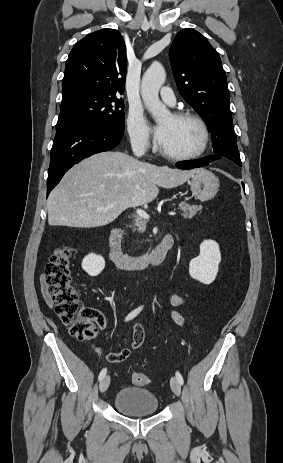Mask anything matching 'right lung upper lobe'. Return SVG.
<instances>
[{
  "label": "right lung upper lobe",
  "mask_w": 283,
  "mask_h": 463,
  "mask_svg": "<svg viewBox=\"0 0 283 463\" xmlns=\"http://www.w3.org/2000/svg\"><path fill=\"white\" fill-rule=\"evenodd\" d=\"M126 70L120 32L106 28L90 33L74 45L66 61L61 104L87 94L122 95Z\"/></svg>",
  "instance_id": "obj_1"
}]
</instances>
